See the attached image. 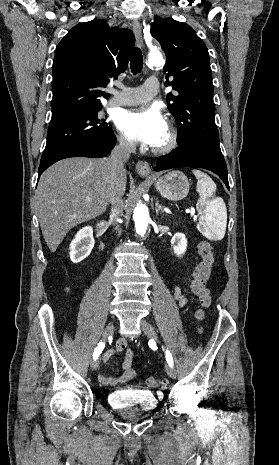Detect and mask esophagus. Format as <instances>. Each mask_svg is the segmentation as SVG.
Masks as SVG:
<instances>
[{
	"instance_id": "34e87169",
	"label": "esophagus",
	"mask_w": 279,
	"mask_h": 465,
	"mask_svg": "<svg viewBox=\"0 0 279 465\" xmlns=\"http://www.w3.org/2000/svg\"><path fill=\"white\" fill-rule=\"evenodd\" d=\"M133 31L136 36V40L139 47H143V36H142V26L138 20L132 22ZM136 172L142 177H148L151 174L150 164L146 161L139 160L136 164Z\"/></svg>"
}]
</instances>
